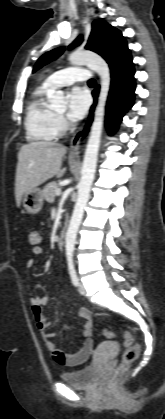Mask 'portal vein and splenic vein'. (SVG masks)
Masks as SVG:
<instances>
[{
  "mask_svg": "<svg viewBox=\"0 0 165 419\" xmlns=\"http://www.w3.org/2000/svg\"><path fill=\"white\" fill-rule=\"evenodd\" d=\"M55 194L57 195V196H60L61 195V189L59 188V189H56L55 190Z\"/></svg>",
  "mask_w": 165,
  "mask_h": 419,
  "instance_id": "obj_1",
  "label": "portal vein and splenic vein"
}]
</instances>
